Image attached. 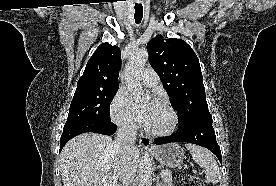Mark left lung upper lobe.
Here are the masks:
<instances>
[{"label":"left lung upper lobe","mask_w":276,"mask_h":186,"mask_svg":"<svg viewBox=\"0 0 276 186\" xmlns=\"http://www.w3.org/2000/svg\"><path fill=\"white\" fill-rule=\"evenodd\" d=\"M149 62L158 73L171 99V105L180 115L179 128L194 122L212 119L206 101L199 60L193 49L183 40L160 36L147 44Z\"/></svg>","instance_id":"left-lung-upper-lobe-1"}]
</instances>
